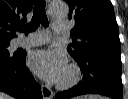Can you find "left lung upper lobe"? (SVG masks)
<instances>
[{
  "instance_id": "obj_1",
  "label": "left lung upper lobe",
  "mask_w": 128,
  "mask_h": 99,
  "mask_svg": "<svg viewBox=\"0 0 128 99\" xmlns=\"http://www.w3.org/2000/svg\"><path fill=\"white\" fill-rule=\"evenodd\" d=\"M66 2L70 7L69 17L75 20L71 31L74 39L67 50L75 60H80L88 51L98 47L120 49L118 25L110 0Z\"/></svg>"
}]
</instances>
